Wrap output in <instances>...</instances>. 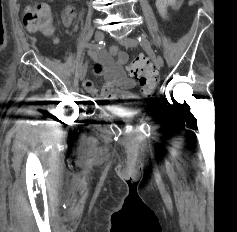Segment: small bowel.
Returning <instances> with one entry per match:
<instances>
[{
	"label": "small bowel",
	"instance_id": "c3829d8e",
	"mask_svg": "<svg viewBox=\"0 0 237 232\" xmlns=\"http://www.w3.org/2000/svg\"><path fill=\"white\" fill-rule=\"evenodd\" d=\"M182 0H174L173 8H178ZM74 9L67 6L63 14V22L69 26L74 17ZM91 56L96 64L93 72L104 77V83L99 90L90 79L84 81V88L95 98L108 101L124 100L132 97L130 90L136 86V81L129 77L125 71L128 55L117 46H112L108 52L92 51ZM115 58V59H114ZM149 91L144 90V93Z\"/></svg>",
	"mask_w": 237,
	"mask_h": 232
}]
</instances>
